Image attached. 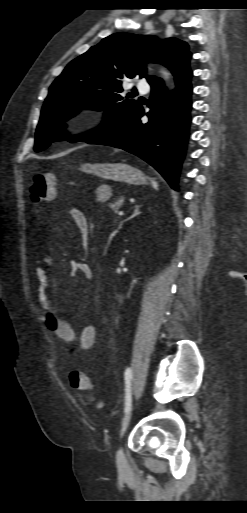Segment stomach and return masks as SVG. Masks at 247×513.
Listing matches in <instances>:
<instances>
[{"label": "stomach", "instance_id": "0dacf381", "mask_svg": "<svg viewBox=\"0 0 247 513\" xmlns=\"http://www.w3.org/2000/svg\"><path fill=\"white\" fill-rule=\"evenodd\" d=\"M84 172L95 174L104 179L129 184H145L143 172L125 163H86L81 166Z\"/></svg>", "mask_w": 247, "mask_h": 513}]
</instances>
